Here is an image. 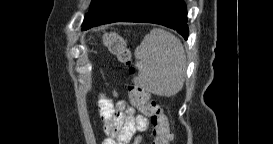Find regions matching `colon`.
I'll list each match as a JSON object with an SVG mask.
<instances>
[{
  "mask_svg": "<svg viewBox=\"0 0 273 144\" xmlns=\"http://www.w3.org/2000/svg\"><path fill=\"white\" fill-rule=\"evenodd\" d=\"M105 40L111 53L120 61L131 63L130 50L121 34L112 31L105 36ZM130 73H135L134 67L130 68ZM128 89L131 103L150 120L152 144H169L171 141L169 121L161 105L140 86L130 85Z\"/></svg>",
  "mask_w": 273,
  "mask_h": 144,
  "instance_id": "obj_1",
  "label": "colon"
}]
</instances>
